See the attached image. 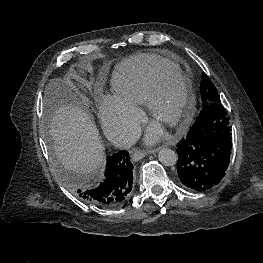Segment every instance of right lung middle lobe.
<instances>
[{"mask_svg": "<svg viewBox=\"0 0 263 263\" xmlns=\"http://www.w3.org/2000/svg\"><path fill=\"white\" fill-rule=\"evenodd\" d=\"M61 176L66 182H68L72 186H75L76 184L79 183V180L72 175H68V174L61 172Z\"/></svg>", "mask_w": 263, "mask_h": 263, "instance_id": "obj_1", "label": "right lung middle lobe"}]
</instances>
